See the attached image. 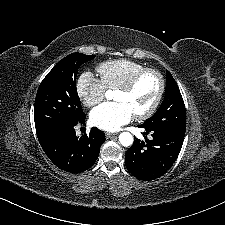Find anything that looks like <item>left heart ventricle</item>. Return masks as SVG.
<instances>
[{
  "mask_svg": "<svg viewBox=\"0 0 225 225\" xmlns=\"http://www.w3.org/2000/svg\"><path fill=\"white\" fill-rule=\"evenodd\" d=\"M159 87L158 78L154 74H146L129 92H115V101L123 103L132 114H138L148 109L153 103Z\"/></svg>",
  "mask_w": 225,
  "mask_h": 225,
  "instance_id": "b2bd125f",
  "label": "left heart ventricle"
}]
</instances>
